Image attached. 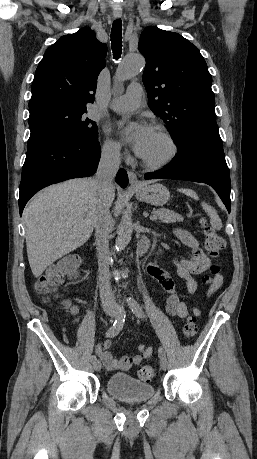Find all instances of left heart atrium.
Instances as JSON below:
<instances>
[{"instance_id": "39dd6f15", "label": "left heart atrium", "mask_w": 257, "mask_h": 459, "mask_svg": "<svg viewBox=\"0 0 257 459\" xmlns=\"http://www.w3.org/2000/svg\"><path fill=\"white\" fill-rule=\"evenodd\" d=\"M121 128L122 135L129 139L134 151L139 156H142L151 137L153 128L145 122L138 123L133 130L123 128V126H121Z\"/></svg>"}]
</instances>
